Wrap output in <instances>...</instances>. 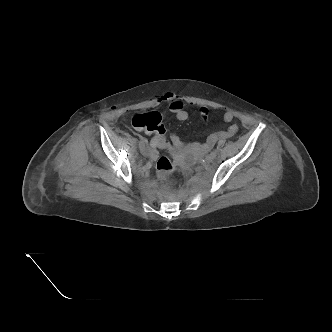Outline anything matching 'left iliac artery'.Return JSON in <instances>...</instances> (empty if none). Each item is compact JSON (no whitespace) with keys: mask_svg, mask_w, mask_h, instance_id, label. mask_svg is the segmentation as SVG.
<instances>
[{"mask_svg":"<svg viewBox=\"0 0 332 332\" xmlns=\"http://www.w3.org/2000/svg\"><path fill=\"white\" fill-rule=\"evenodd\" d=\"M210 154H211L212 156L216 157L217 152L214 150V151H212Z\"/></svg>","mask_w":332,"mask_h":332,"instance_id":"1","label":"left iliac artery"}]
</instances>
